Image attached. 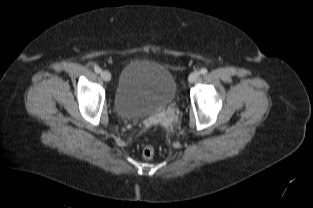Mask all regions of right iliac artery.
Here are the masks:
<instances>
[{"label":"right iliac artery","mask_w":313,"mask_h":208,"mask_svg":"<svg viewBox=\"0 0 313 208\" xmlns=\"http://www.w3.org/2000/svg\"><path fill=\"white\" fill-rule=\"evenodd\" d=\"M94 71H95L96 73H100V72H101V69H100L99 66H95V67H94Z\"/></svg>","instance_id":"obj_1"}]
</instances>
